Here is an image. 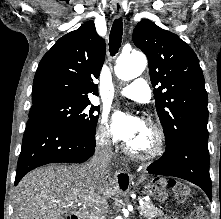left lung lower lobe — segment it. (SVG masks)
I'll return each instance as SVG.
<instances>
[{
	"label": "left lung lower lobe",
	"mask_w": 221,
	"mask_h": 219,
	"mask_svg": "<svg viewBox=\"0 0 221 219\" xmlns=\"http://www.w3.org/2000/svg\"><path fill=\"white\" fill-rule=\"evenodd\" d=\"M149 174L173 176L201 187L211 200L208 137L188 133L148 168Z\"/></svg>",
	"instance_id": "0a47b994"
}]
</instances>
